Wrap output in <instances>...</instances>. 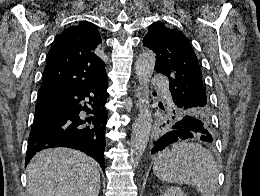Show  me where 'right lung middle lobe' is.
<instances>
[{
	"instance_id": "right-lung-middle-lobe-1",
	"label": "right lung middle lobe",
	"mask_w": 260,
	"mask_h": 196,
	"mask_svg": "<svg viewBox=\"0 0 260 196\" xmlns=\"http://www.w3.org/2000/svg\"><path fill=\"white\" fill-rule=\"evenodd\" d=\"M50 117H52V116L51 115H46V114H37L36 113L35 117H34V123L46 120V119H48Z\"/></svg>"
}]
</instances>
